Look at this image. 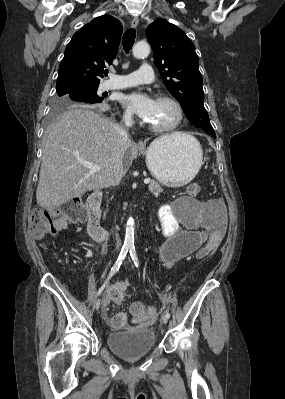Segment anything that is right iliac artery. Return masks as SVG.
<instances>
[{
  "label": "right iliac artery",
  "mask_w": 285,
  "mask_h": 399,
  "mask_svg": "<svg viewBox=\"0 0 285 399\" xmlns=\"http://www.w3.org/2000/svg\"><path fill=\"white\" fill-rule=\"evenodd\" d=\"M128 253V248L123 247L121 249V252L115 262V264L113 265V267L111 268V271L109 273V276L107 277V279L105 280V282L103 283V285L98 289V291L96 292V297H98L104 290V288L106 287V285L108 284L109 280L111 279V277L118 272L123 260L125 259L126 255Z\"/></svg>",
  "instance_id": "82829eb1"
}]
</instances>
